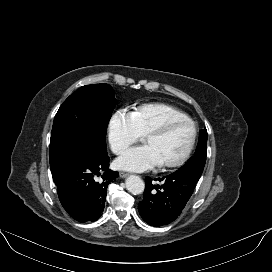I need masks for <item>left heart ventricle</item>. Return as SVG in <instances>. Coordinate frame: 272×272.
<instances>
[{
  "label": "left heart ventricle",
  "mask_w": 272,
  "mask_h": 272,
  "mask_svg": "<svg viewBox=\"0 0 272 272\" xmlns=\"http://www.w3.org/2000/svg\"><path fill=\"white\" fill-rule=\"evenodd\" d=\"M192 130L189 125H180L163 136L145 139L146 144L154 148L161 163L172 162L180 158L191 140Z\"/></svg>",
  "instance_id": "obj_1"
}]
</instances>
